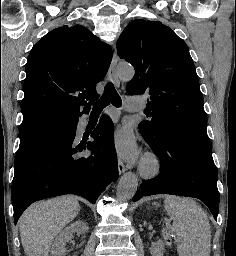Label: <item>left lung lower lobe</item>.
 I'll return each instance as SVG.
<instances>
[{"label":"left lung lower lobe","instance_id":"left-lung-lower-lobe-1","mask_svg":"<svg viewBox=\"0 0 236 256\" xmlns=\"http://www.w3.org/2000/svg\"><path fill=\"white\" fill-rule=\"evenodd\" d=\"M145 140L161 160L162 168L158 177L142 182L133 201L154 194L196 197L208 206L217 220L218 172L210 142L169 131L164 132L158 142Z\"/></svg>","mask_w":236,"mask_h":256}]
</instances>
